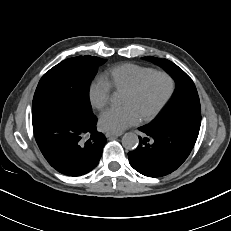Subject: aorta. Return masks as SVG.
Wrapping results in <instances>:
<instances>
[{"label":"aorta","mask_w":231,"mask_h":231,"mask_svg":"<svg viewBox=\"0 0 231 231\" xmlns=\"http://www.w3.org/2000/svg\"><path fill=\"white\" fill-rule=\"evenodd\" d=\"M113 102H115V99H112ZM139 144V138L135 133L128 132L125 133L123 138H122V145L124 148L128 150H133L135 149Z\"/></svg>","instance_id":"obj_1"}]
</instances>
